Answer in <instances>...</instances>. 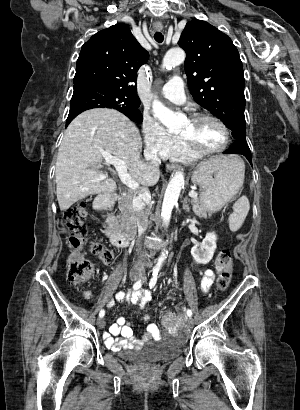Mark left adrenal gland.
Masks as SVG:
<instances>
[{"label": "left adrenal gland", "instance_id": "a2214340", "mask_svg": "<svg viewBox=\"0 0 300 410\" xmlns=\"http://www.w3.org/2000/svg\"><path fill=\"white\" fill-rule=\"evenodd\" d=\"M183 209H184L186 212H190V207H189V205H188V196H186V197L184 198V201H183Z\"/></svg>", "mask_w": 300, "mask_h": 410}]
</instances>
